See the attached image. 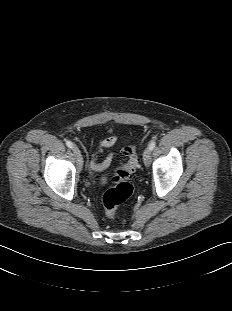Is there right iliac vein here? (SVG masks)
Instances as JSON below:
<instances>
[{"label":"right iliac vein","mask_w":232,"mask_h":311,"mask_svg":"<svg viewBox=\"0 0 232 311\" xmlns=\"http://www.w3.org/2000/svg\"><path fill=\"white\" fill-rule=\"evenodd\" d=\"M73 152L75 153V156H76V158H77V162H78V165H79V169H81L82 166H83V158H82V155H81L79 149L76 148V147L73 148Z\"/></svg>","instance_id":"63e3f726"}]
</instances>
